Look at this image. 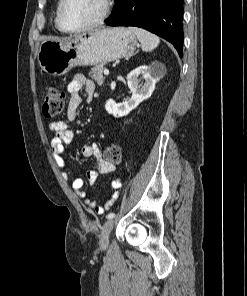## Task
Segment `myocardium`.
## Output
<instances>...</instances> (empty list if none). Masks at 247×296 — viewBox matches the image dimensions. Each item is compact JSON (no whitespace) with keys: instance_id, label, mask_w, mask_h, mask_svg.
Wrapping results in <instances>:
<instances>
[{"instance_id":"obj_1","label":"myocardium","mask_w":247,"mask_h":296,"mask_svg":"<svg viewBox=\"0 0 247 296\" xmlns=\"http://www.w3.org/2000/svg\"><path fill=\"white\" fill-rule=\"evenodd\" d=\"M66 0H60L57 6V10H56V26L57 28L64 33L67 34H79V33H84L90 30H93L95 28L100 27L108 18L110 10H111V1L110 0H101V5H102V9H101V13L99 15V17L92 23L82 27V28H78V29H67L62 25V20H61V12H62V8L65 4Z\"/></svg>"}]
</instances>
